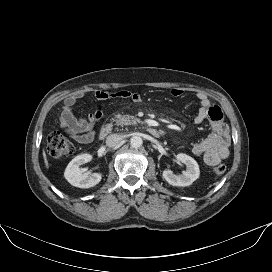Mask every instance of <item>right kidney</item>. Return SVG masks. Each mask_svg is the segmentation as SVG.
<instances>
[{"label":"right kidney","instance_id":"1","mask_svg":"<svg viewBox=\"0 0 272 272\" xmlns=\"http://www.w3.org/2000/svg\"><path fill=\"white\" fill-rule=\"evenodd\" d=\"M92 160V156L90 154H81L76 156L74 159L66 167L64 172L65 179L73 186L79 188H91L97 185L101 179V174L89 172L84 173L80 166L88 163Z\"/></svg>","mask_w":272,"mask_h":272}]
</instances>
